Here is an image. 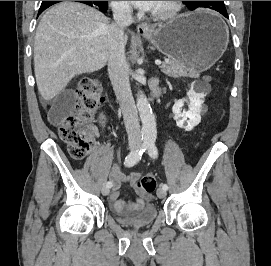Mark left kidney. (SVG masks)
Returning <instances> with one entry per match:
<instances>
[{"instance_id":"obj_1","label":"left kidney","mask_w":271,"mask_h":266,"mask_svg":"<svg viewBox=\"0 0 271 266\" xmlns=\"http://www.w3.org/2000/svg\"><path fill=\"white\" fill-rule=\"evenodd\" d=\"M188 98L190 101L188 111L182 110L184 106L182 101H177L172 108L177 126L185 131H191L200 123L201 108L204 103V95L197 93L193 89L189 90Z\"/></svg>"}]
</instances>
